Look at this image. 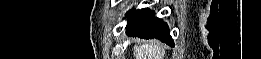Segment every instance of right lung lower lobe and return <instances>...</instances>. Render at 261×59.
Instances as JSON below:
<instances>
[{
	"label": "right lung lower lobe",
	"instance_id": "1",
	"mask_svg": "<svg viewBox=\"0 0 261 59\" xmlns=\"http://www.w3.org/2000/svg\"><path fill=\"white\" fill-rule=\"evenodd\" d=\"M126 33L128 36L145 39L156 38L174 46L167 24L154 17V12L149 11V9L137 10L129 14Z\"/></svg>",
	"mask_w": 261,
	"mask_h": 59
}]
</instances>
